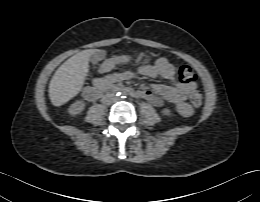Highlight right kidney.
<instances>
[{"label": "right kidney", "instance_id": "obj_1", "mask_svg": "<svg viewBox=\"0 0 260 202\" xmlns=\"http://www.w3.org/2000/svg\"><path fill=\"white\" fill-rule=\"evenodd\" d=\"M85 106L86 104L84 101L78 100L70 106L69 113L73 116L78 115L84 110Z\"/></svg>", "mask_w": 260, "mask_h": 202}]
</instances>
